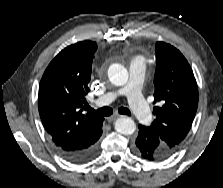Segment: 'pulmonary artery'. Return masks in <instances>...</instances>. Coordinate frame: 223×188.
Wrapping results in <instances>:
<instances>
[{
  "mask_svg": "<svg viewBox=\"0 0 223 188\" xmlns=\"http://www.w3.org/2000/svg\"><path fill=\"white\" fill-rule=\"evenodd\" d=\"M145 68V59L140 56L134 57L130 62V79L128 84L116 91L101 95L97 98L96 103L100 106H106L112 103L118 96L125 95L137 119L143 124H149L152 120V113L142 94Z\"/></svg>",
  "mask_w": 223,
  "mask_h": 188,
  "instance_id": "e3ab8cb5",
  "label": "pulmonary artery"
}]
</instances>
